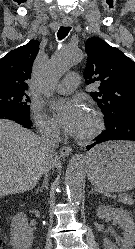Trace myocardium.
Listing matches in <instances>:
<instances>
[{
    "mask_svg": "<svg viewBox=\"0 0 135 249\" xmlns=\"http://www.w3.org/2000/svg\"><path fill=\"white\" fill-rule=\"evenodd\" d=\"M89 113L92 116V126H91V129L85 135L79 136L77 138V140L79 142H86V141H89V140L93 139L103 129V120H102L101 114L97 110H95L93 108H91L89 110Z\"/></svg>",
    "mask_w": 135,
    "mask_h": 249,
    "instance_id": "1",
    "label": "myocardium"
}]
</instances>
